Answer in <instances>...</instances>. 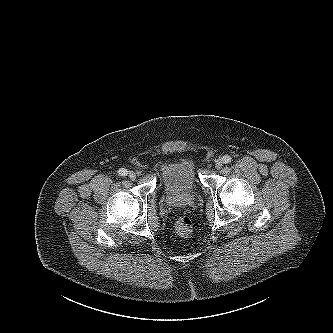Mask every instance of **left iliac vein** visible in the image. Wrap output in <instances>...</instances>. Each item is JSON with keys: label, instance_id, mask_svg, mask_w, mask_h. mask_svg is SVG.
<instances>
[{"label": "left iliac vein", "instance_id": "4c4485c4", "mask_svg": "<svg viewBox=\"0 0 333 333\" xmlns=\"http://www.w3.org/2000/svg\"><path fill=\"white\" fill-rule=\"evenodd\" d=\"M223 163H224L223 158L219 157V158L215 161V167H216L217 169H220V168L223 166Z\"/></svg>", "mask_w": 333, "mask_h": 333}]
</instances>
